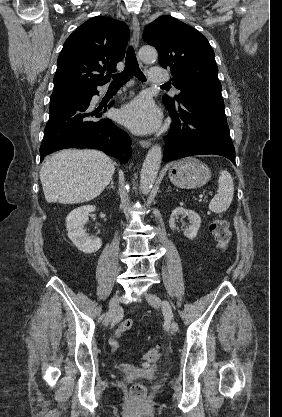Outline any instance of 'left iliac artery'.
Returning <instances> with one entry per match:
<instances>
[{"mask_svg":"<svg viewBox=\"0 0 282 417\" xmlns=\"http://www.w3.org/2000/svg\"><path fill=\"white\" fill-rule=\"evenodd\" d=\"M162 307H163V311L166 314V316L172 319L173 318V313L171 311V307H170L169 302L164 301Z\"/></svg>","mask_w":282,"mask_h":417,"instance_id":"obj_1","label":"left iliac artery"}]
</instances>
